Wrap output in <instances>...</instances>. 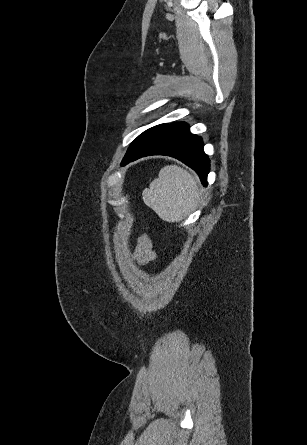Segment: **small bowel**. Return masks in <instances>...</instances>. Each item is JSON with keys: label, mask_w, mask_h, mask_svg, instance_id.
Returning <instances> with one entry per match:
<instances>
[{"label": "small bowel", "mask_w": 307, "mask_h": 445, "mask_svg": "<svg viewBox=\"0 0 307 445\" xmlns=\"http://www.w3.org/2000/svg\"><path fill=\"white\" fill-rule=\"evenodd\" d=\"M134 257L141 265H146L156 258L151 240L147 236L139 237Z\"/></svg>", "instance_id": "small-bowel-1"}]
</instances>
